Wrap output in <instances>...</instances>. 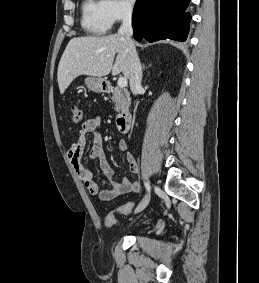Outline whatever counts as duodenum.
Returning a JSON list of instances; mask_svg holds the SVG:
<instances>
[{"label": "duodenum", "instance_id": "410a0bca", "mask_svg": "<svg viewBox=\"0 0 259 283\" xmlns=\"http://www.w3.org/2000/svg\"><path fill=\"white\" fill-rule=\"evenodd\" d=\"M106 89H110V85L106 86ZM132 116L129 112H122L117 117V128L121 133H127L130 129Z\"/></svg>", "mask_w": 259, "mask_h": 283}]
</instances>
